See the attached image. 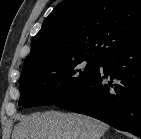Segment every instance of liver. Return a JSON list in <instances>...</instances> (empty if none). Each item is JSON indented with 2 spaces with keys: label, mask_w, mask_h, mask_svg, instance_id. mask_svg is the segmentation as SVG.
Segmentation results:
<instances>
[{
  "label": "liver",
  "mask_w": 141,
  "mask_h": 139,
  "mask_svg": "<svg viewBox=\"0 0 141 139\" xmlns=\"http://www.w3.org/2000/svg\"><path fill=\"white\" fill-rule=\"evenodd\" d=\"M109 126L97 119L58 111L21 116L12 139H101Z\"/></svg>",
  "instance_id": "6515ba94"
}]
</instances>
